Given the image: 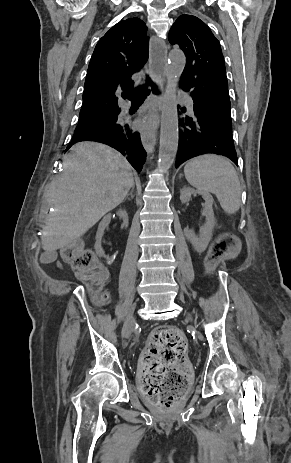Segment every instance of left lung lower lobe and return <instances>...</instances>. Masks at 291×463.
<instances>
[{"instance_id": "1", "label": "left lung lower lobe", "mask_w": 291, "mask_h": 463, "mask_svg": "<svg viewBox=\"0 0 291 463\" xmlns=\"http://www.w3.org/2000/svg\"><path fill=\"white\" fill-rule=\"evenodd\" d=\"M185 111L184 108L182 112ZM179 125L176 168L188 159L204 154L222 155L238 165L231 121L207 112L194 102V117L179 119Z\"/></svg>"}]
</instances>
